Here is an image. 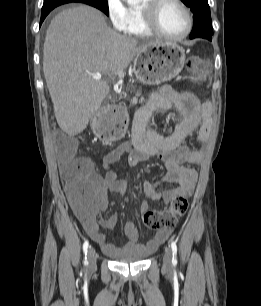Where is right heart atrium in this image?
Listing matches in <instances>:
<instances>
[{
    "label": "right heart atrium",
    "mask_w": 261,
    "mask_h": 306,
    "mask_svg": "<svg viewBox=\"0 0 261 306\" xmlns=\"http://www.w3.org/2000/svg\"><path fill=\"white\" fill-rule=\"evenodd\" d=\"M108 18L114 29L121 31L127 22V7L123 0H106Z\"/></svg>",
    "instance_id": "right-heart-atrium-1"
}]
</instances>
